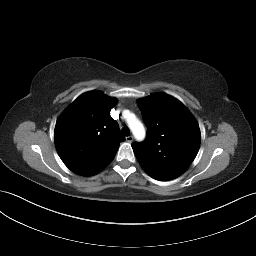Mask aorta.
<instances>
[{
	"mask_svg": "<svg viewBox=\"0 0 256 256\" xmlns=\"http://www.w3.org/2000/svg\"><path fill=\"white\" fill-rule=\"evenodd\" d=\"M127 123L134 137L137 140H143L145 137V129L143 124L135 117V115L129 114L127 118Z\"/></svg>",
	"mask_w": 256,
	"mask_h": 256,
	"instance_id": "1",
	"label": "aorta"
}]
</instances>
